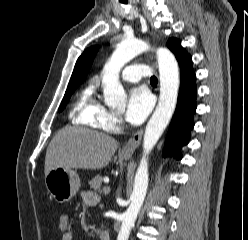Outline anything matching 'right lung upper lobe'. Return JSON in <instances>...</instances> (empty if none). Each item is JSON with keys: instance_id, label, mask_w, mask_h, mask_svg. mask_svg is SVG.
Returning <instances> with one entry per match:
<instances>
[{"instance_id": "obj_1", "label": "right lung upper lobe", "mask_w": 248, "mask_h": 240, "mask_svg": "<svg viewBox=\"0 0 248 240\" xmlns=\"http://www.w3.org/2000/svg\"><path fill=\"white\" fill-rule=\"evenodd\" d=\"M98 49L99 46H92L83 52L76 62L70 81L82 82L86 78Z\"/></svg>"}]
</instances>
